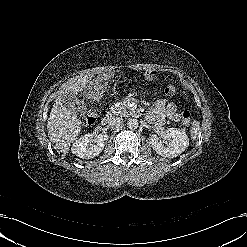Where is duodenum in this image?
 I'll list each match as a JSON object with an SVG mask.
<instances>
[{"instance_id":"obj_1","label":"duodenum","mask_w":247,"mask_h":247,"mask_svg":"<svg viewBox=\"0 0 247 247\" xmlns=\"http://www.w3.org/2000/svg\"><path fill=\"white\" fill-rule=\"evenodd\" d=\"M112 119V115L110 114V113H108L105 117H104V119H103V125H106V124H108L109 122H110V120Z\"/></svg>"}]
</instances>
